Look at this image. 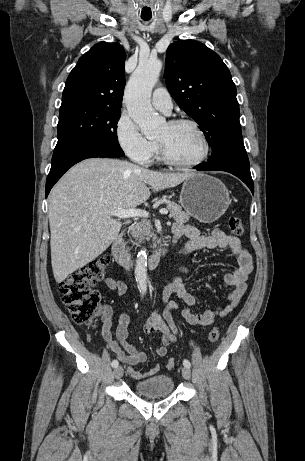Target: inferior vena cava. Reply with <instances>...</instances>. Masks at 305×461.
<instances>
[{
  "label": "inferior vena cava",
  "instance_id": "obj_1",
  "mask_svg": "<svg viewBox=\"0 0 305 461\" xmlns=\"http://www.w3.org/2000/svg\"><path fill=\"white\" fill-rule=\"evenodd\" d=\"M123 253H124L125 259H126L127 261H129V259H130L129 249H128V248L124 249ZM125 269H126V270H129V267H128V266H125Z\"/></svg>",
  "mask_w": 305,
  "mask_h": 461
}]
</instances>
